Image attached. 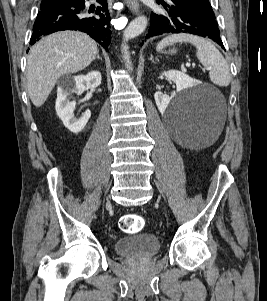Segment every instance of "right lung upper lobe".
Returning <instances> with one entry per match:
<instances>
[{"label":"right lung upper lobe","mask_w":267,"mask_h":301,"mask_svg":"<svg viewBox=\"0 0 267 301\" xmlns=\"http://www.w3.org/2000/svg\"><path fill=\"white\" fill-rule=\"evenodd\" d=\"M44 1H50L52 4H55V3H58V2H60L62 0H44Z\"/></svg>","instance_id":"1"}]
</instances>
